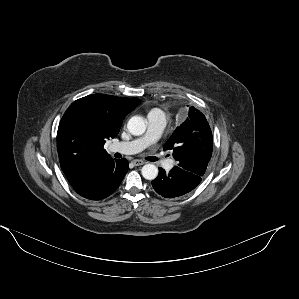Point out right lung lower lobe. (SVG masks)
Returning a JSON list of instances; mask_svg holds the SVG:
<instances>
[{
  "instance_id": "right-lung-lower-lobe-1",
  "label": "right lung lower lobe",
  "mask_w": 299,
  "mask_h": 299,
  "mask_svg": "<svg viewBox=\"0 0 299 299\" xmlns=\"http://www.w3.org/2000/svg\"><path fill=\"white\" fill-rule=\"evenodd\" d=\"M128 161L109 159L92 168L75 191L90 200H99L111 195L120 185L128 170Z\"/></svg>"
}]
</instances>
